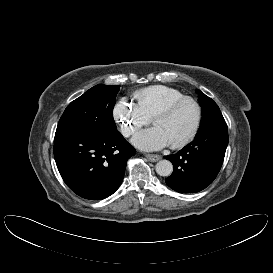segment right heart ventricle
<instances>
[{
    "mask_svg": "<svg viewBox=\"0 0 273 273\" xmlns=\"http://www.w3.org/2000/svg\"><path fill=\"white\" fill-rule=\"evenodd\" d=\"M182 97L179 90L164 85L148 86L134 93L136 105L150 120L167 104Z\"/></svg>",
    "mask_w": 273,
    "mask_h": 273,
    "instance_id": "obj_1",
    "label": "right heart ventricle"
}]
</instances>
